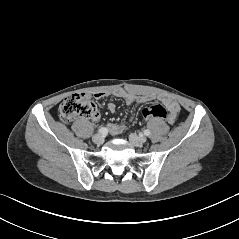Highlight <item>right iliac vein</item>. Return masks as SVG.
I'll return each instance as SVG.
<instances>
[{
    "mask_svg": "<svg viewBox=\"0 0 239 239\" xmlns=\"http://www.w3.org/2000/svg\"><path fill=\"white\" fill-rule=\"evenodd\" d=\"M92 140L95 144H102L104 142V137L102 134L98 133L92 137Z\"/></svg>",
    "mask_w": 239,
    "mask_h": 239,
    "instance_id": "1",
    "label": "right iliac vein"
}]
</instances>
